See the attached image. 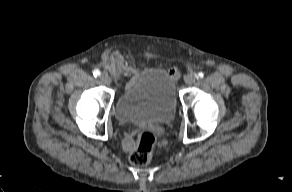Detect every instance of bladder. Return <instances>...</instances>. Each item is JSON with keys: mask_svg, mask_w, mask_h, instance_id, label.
Here are the masks:
<instances>
[{"mask_svg": "<svg viewBox=\"0 0 292 192\" xmlns=\"http://www.w3.org/2000/svg\"><path fill=\"white\" fill-rule=\"evenodd\" d=\"M176 112L173 78L161 68H147L126 83L115 114L123 123H168Z\"/></svg>", "mask_w": 292, "mask_h": 192, "instance_id": "obj_1", "label": "bladder"}]
</instances>
